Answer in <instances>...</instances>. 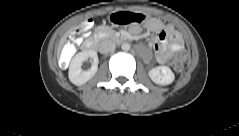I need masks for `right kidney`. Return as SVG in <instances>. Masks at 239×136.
<instances>
[{"label": "right kidney", "instance_id": "1", "mask_svg": "<svg viewBox=\"0 0 239 136\" xmlns=\"http://www.w3.org/2000/svg\"><path fill=\"white\" fill-rule=\"evenodd\" d=\"M87 59H90L91 68L88 70H83L82 63ZM98 63L99 60L96 51L88 50L79 52L72 58L70 62L68 73L69 80L77 86L85 84L97 72Z\"/></svg>", "mask_w": 239, "mask_h": 136}]
</instances>
